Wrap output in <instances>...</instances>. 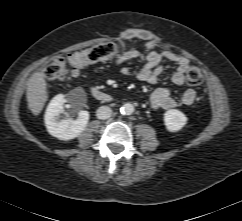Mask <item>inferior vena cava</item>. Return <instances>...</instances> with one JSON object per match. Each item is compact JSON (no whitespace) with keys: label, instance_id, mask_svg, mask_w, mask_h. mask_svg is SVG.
Returning <instances> with one entry per match:
<instances>
[{"label":"inferior vena cava","instance_id":"inferior-vena-cava-1","mask_svg":"<svg viewBox=\"0 0 242 221\" xmlns=\"http://www.w3.org/2000/svg\"><path fill=\"white\" fill-rule=\"evenodd\" d=\"M112 115V110L109 106H101L96 111V116L98 119L105 120L110 118Z\"/></svg>","mask_w":242,"mask_h":221}]
</instances>
